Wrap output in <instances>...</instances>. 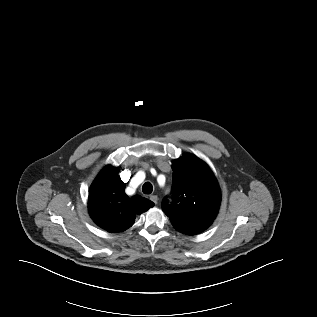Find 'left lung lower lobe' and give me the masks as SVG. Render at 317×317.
<instances>
[{"mask_svg":"<svg viewBox=\"0 0 317 317\" xmlns=\"http://www.w3.org/2000/svg\"><path fill=\"white\" fill-rule=\"evenodd\" d=\"M178 231L187 234V235H195L200 233V231L195 230V229H191V228H179Z\"/></svg>","mask_w":317,"mask_h":317,"instance_id":"1","label":"left lung lower lobe"}]
</instances>
